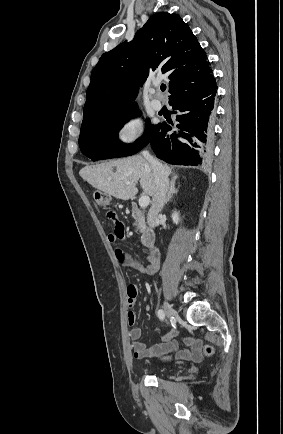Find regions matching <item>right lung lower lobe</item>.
<instances>
[{
    "label": "right lung lower lobe",
    "instance_id": "obj_1",
    "mask_svg": "<svg viewBox=\"0 0 283 434\" xmlns=\"http://www.w3.org/2000/svg\"><path fill=\"white\" fill-rule=\"evenodd\" d=\"M216 81L213 78L191 93L173 97L169 104L177 113L178 124H159L149 141L156 156L170 164L198 165L209 157L213 140ZM161 129V132L159 130Z\"/></svg>",
    "mask_w": 283,
    "mask_h": 434
}]
</instances>
